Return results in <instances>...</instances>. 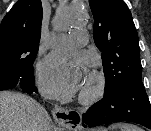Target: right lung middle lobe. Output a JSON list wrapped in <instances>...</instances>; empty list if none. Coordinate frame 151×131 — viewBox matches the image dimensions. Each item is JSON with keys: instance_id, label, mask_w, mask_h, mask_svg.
I'll use <instances>...</instances> for the list:
<instances>
[{"instance_id": "right-lung-middle-lobe-1", "label": "right lung middle lobe", "mask_w": 151, "mask_h": 131, "mask_svg": "<svg viewBox=\"0 0 151 131\" xmlns=\"http://www.w3.org/2000/svg\"><path fill=\"white\" fill-rule=\"evenodd\" d=\"M36 54H30L20 47L0 52V76L8 78L10 83L33 77L32 65Z\"/></svg>"}]
</instances>
